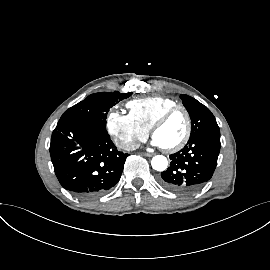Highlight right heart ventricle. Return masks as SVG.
<instances>
[{
    "label": "right heart ventricle",
    "instance_id": "right-heart-ventricle-1",
    "mask_svg": "<svg viewBox=\"0 0 270 270\" xmlns=\"http://www.w3.org/2000/svg\"><path fill=\"white\" fill-rule=\"evenodd\" d=\"M177 104L171 98L154 96L131 100L127 103V107L132 117L149 130L165 110Z\"/></svg>",
    "mask_w": 270,
    "mask_h": 270
}]
</instances>
